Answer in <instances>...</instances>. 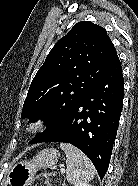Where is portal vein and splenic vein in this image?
<instances>
[{
	"instance_id": "1",
	"label": "portal vein and splenic vein",
	"mask_w": 138,
	"mask_h": 186,
	"mask_svg": "<svg viewBox=\"0 0 138 186\" xmlns=\"http://www.w3.org/2000/svg\"><path fill=\"white\" fill-rule=\"evenodd\" d=\"M60 172H61V173H65V169H64V168H61V169H60Z\"/></svg>"
}]
</instances>
